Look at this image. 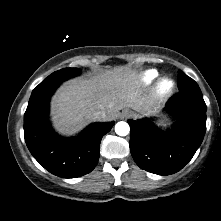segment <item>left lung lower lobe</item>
Returning a JSON list of instances; mask_svg holds the SVG:
<instances>
[{"instance_id": "1", "label": "left lung lower lobe", "mask_w": 221, "mask_h": 221, "mask_svg": "<svg viewBox=\"0 0 221 221\" xmlns=\"http://www.w3.org/2000/svg\"><path fill=\"white\" fill-rule=\"evenodd\" d=\"M206 104L201 92L184 91L172 96L165 111L174 119L171 129L158 128L154 120H128L130 151L143 170L170 175L194 156L206 132Z\"/></svg>"}]
</instances>
